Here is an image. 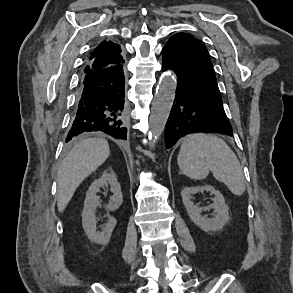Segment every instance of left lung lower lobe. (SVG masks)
<instances>
[{
	"label": "left lung lower lobe",
	"mask_w": 293,
	"mask_h": 293,
	"mask_svg": "<svg viewBox=\"0 0 293 293\" xmlns=\"http://www.w3.org/2000/svg\"><path fill=\"white\" fill-rule=\"evenodd\" d=\"M162 69H171L177 76L175 100L165 127L167 149L190 133L217 132L232 136L221 95L190 79L168 46L163 47Z\"/></svg>",
	"instance_id": "obj_1"
}]
</instances>
